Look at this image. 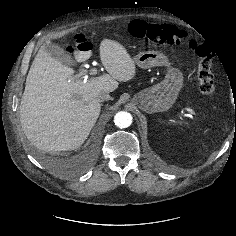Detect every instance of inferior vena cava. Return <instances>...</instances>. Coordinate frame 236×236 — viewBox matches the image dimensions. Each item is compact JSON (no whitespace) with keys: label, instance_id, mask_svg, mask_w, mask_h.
<instances>
[{"label":"inferior vena cava","instance_id":"obj_1","mask_svg":"<svg viewBox=\"0 0 236 236\" xmlns=\"http://www.w3.org/2000/svg\"><path fill=\"white\" fill-rule=\"evenodd\" d=\"M97 99L99 102H104V101L110 100L111 97L108 93L102 92V93L98 94Z\"/></svg>","mask_w":236,"mask_h":236}]
</instances>
